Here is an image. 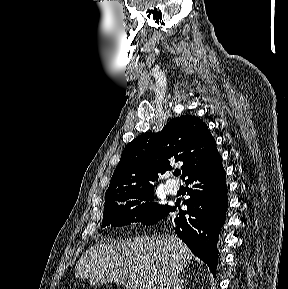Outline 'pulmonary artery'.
I'll use <instances>...</instances> for the list:
<instances>
[{
  "label": "pulmonary artery",
  "mask_w": 288,
  "mask_h": 289,
  "mask_svg": "<svg viewBox=\"0 0 288 289\" xmlns=\"http://www.w3.org/2000/svg\"><path fill=\"white\" fill-rule=\"evenodd\" d=\"M165 190L170 194H175L179 190V184L174 180H168L165 185Z\"/></svg>",
  "instance_id": "obj_1"
}]
</instances>
